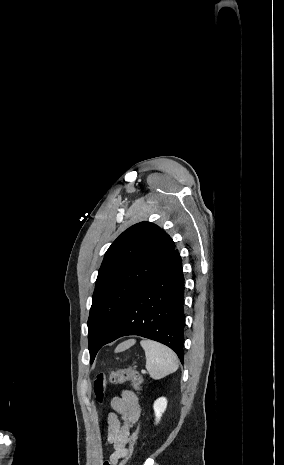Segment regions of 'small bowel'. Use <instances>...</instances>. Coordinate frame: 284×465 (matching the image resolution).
<instances>
[{"label": "small bowel", "instance_id": "1", "mask_svg": "<svg viewBox=\"0 0 284 465\" xmlns=\"http://www.w3.org/2000/svg\"><path fill=\"white\" fill-rule=\"evenodd\" d=\"M111 407L114 412L109 413L107 417V441L114 448V452L103 465H118V461L128 455L127 441L141 415L138 398L130 390L114 397Z\"/></svg>", "mask_w": 284, "mask_h": 465}]
</instances>
